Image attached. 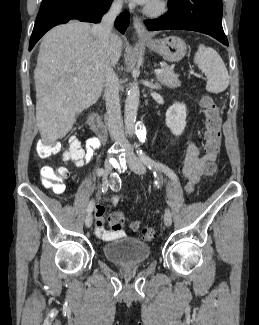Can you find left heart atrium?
<instances>
[{"label":"left heart atrium","mask_w":259,"mask_h":325,"mask_svg":"<svg viewBox=\"0 0 259 325\" xmlns=\"http://www.w3.org/2000/svg\"><path fill=\"white\" fill-rule=\"evenodd\" d=\"M134 1L140 4H149L152 0H134Z\"/></svg>","instance_id":"left-heart-atrium-1"}]
</instances>
